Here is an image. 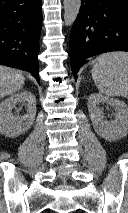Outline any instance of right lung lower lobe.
<instances>
[{"label": "right lung lower lobe", "mask_w": 128, "mask_h": 213, "mask_svg": "<svg viewBox=\"0 0 128 213\" xmlns=\"http://www.w3.org/2000/svg\"><path fill=\"white\" fill-rule=\"evenodd\" d=\"M42 0H0V63L39 79Z\"/></svg>", "instance_id": "right-lung-lower-lobe-1"}]
</instances>
